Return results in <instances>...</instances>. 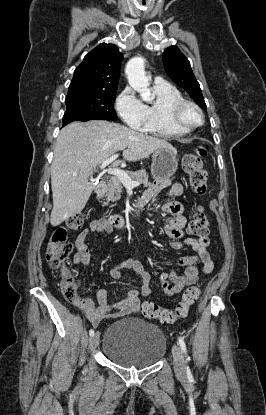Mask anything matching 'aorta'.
<instances>
[{
    "mask_svg": "<svg viewBox=\"0 0 266 415\" xmlns=\"http://www.w3.org/2000/svg\"><path fill=\"white\" fill-rule=\"evenodd\" d=\"M144 62L142 57L130 59L126 65L125 72L130 86L147 102L151 100V91L149 89V81L145 75Z\"/></svg>",
    "mask_w": 266,
    "mask_h": 415,
    "instance_id": "1",
    "label": "aorta"
}]
</instances>
